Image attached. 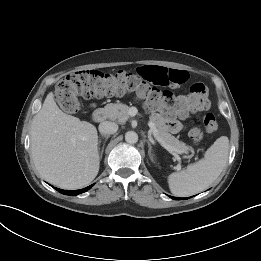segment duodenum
Segmentation results:
<instances>
[{
	"mask_svg": "<svg viewBox=\"0 0 261 261\" xmlns=\"http://www.w3.org/2000/svg\"><path fill=\"white\" fill-rule=\"evenodd\" d=\"M92 117L95 122H103L106 119V112L104 109L98 108L94 110Z\"/></svg>",
	"mask_w": 261,
	"mask_h": 261,
	"instance_id": "410a0bca",
	"label": "duodenum"
}]
</instances>
